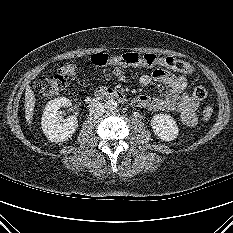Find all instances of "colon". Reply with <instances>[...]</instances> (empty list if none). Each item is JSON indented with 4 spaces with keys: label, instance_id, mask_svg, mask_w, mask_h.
Masks as SVG:
<instances>
[{
    "label": "colon",
    "instance_id": "obj_1",
    "mask_svg": "<svg viewBox=\"0 0 233 233\" xmlns=\"http://www.w3.org/2000/svg\"><path fill=\"white\" fill-rule=\"evenodd\" d=\"M91 62L97 67H104L112 64L121 66H158L172 69L183 74L192 72L191 65L185 61L173 57H158L154 54H140L137 52H128L116 56L97 53L91 57ZM78 72V63L75 60L68 61L59 69L56 75L37 78L33 82V88L43 97H55L65 88L66 79L76 77ZM192 95L195 99L201 101L206 98L207 92L203 86H197L194 88ZM212 114V107L206 106L202 112L203 121L208 122L211 119Z\"/></svg>",
    "mask_w": 233,
    "mask_h": 233
}]
</instances>
